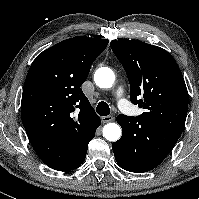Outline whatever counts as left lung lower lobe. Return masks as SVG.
I'll list each match as a JSON object with an SVG mask.
<instances>
[{"instance_id":"obj_1","label":"left lung lower lobe","mask_w":199,"mask_h":199,"mask_svg":"<svg viewBox=\"0 0 199 199\" xmlns=\"http://www.w3.org/2000/svg\"><path fill=\"white\" fill-rule=\"evenodd\" d=\"M122 137L112 143L118 165L129 172L143 173L157 167L170 153L179 137L136 117L118 115Z\"/></svg>"}]
</instances>
